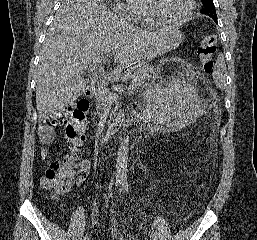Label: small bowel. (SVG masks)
Masks as SVG:
<instances>
[{"label":"small bowel","instance_id":"small-bowel-1","mask_svg":"<svg viewBox=\"0 0 257 240\" xmlns=\"http://www.w3.org/2000/svg\"><path fill=\"white\" fill-rule=\"evenodd\" d=\"M170 60L173 61H180V59L178 58H171ZM40 140L42 142V144H49L51 143V141L53 140V133L52 131L46 130L45 128H42L40 131ZM49 152L46 148H43L40 152V155L42 157V159L47 158ZM79 168H80V172L78 173L77 179H76V184H81L83 183L88 175V171L90 168V161L89 160H82L79 163Z\"/></svg>","mask_w":257,"mask_h":240}]
</instances>
